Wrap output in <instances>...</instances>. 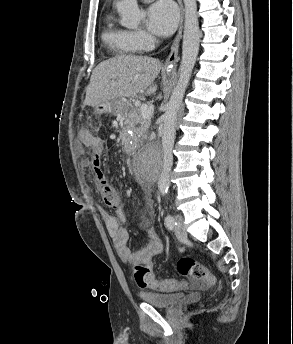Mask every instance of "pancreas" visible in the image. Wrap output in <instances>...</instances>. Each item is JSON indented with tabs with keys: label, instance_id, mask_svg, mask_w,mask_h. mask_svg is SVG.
<instances>
[{
	"label": "pancreas",
	"instance_id": "obj_1",
	"mask_svg": "<svg viewBox=\"0 0 293 344\" xmlns=\"http://www.w3.org/2000/svg\"><path fill=\"white\" fill-rule=\"evenodd\" d=\"M151 118L152 115L150 118L144 119L141 115V110L134 107L128 115L127 125L130 129H134L136 125H140L138 132L141 133L140 139L143 140L147 138L146 131L151 124Z\"/></svg>",
	"mask_w": 293,
	"mask_h": 344
}]
</instances>
